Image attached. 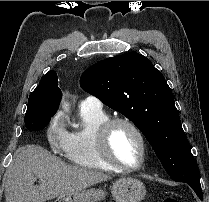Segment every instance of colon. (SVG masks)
<instances>
[{"mask_svg": "<svg viewBox=\"0 0 209 202\" xmlns=\"http://www.w3.org/2000/svg\"><path fill=\"white\" fill-rule=\"evenodd\" d=\"M159 202H179V200L175 197H166L160 200Z\"/></svg>", "mask_w": 209, "mask_h": 202, "instance_id": "1", "label": "colon"}]
</instances>
